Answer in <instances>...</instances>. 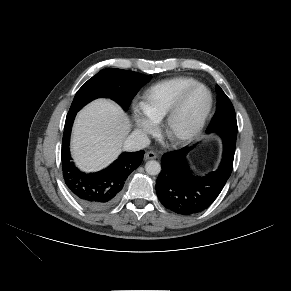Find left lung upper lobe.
<instances>
[{
  "label": "left lung upper lobe",
  "mask_w": 291,
  "mask_h": 291,
  "mask_svg": "<svg viewBox=\"0 0 291 291\" xmlns=\"http://www.w3.org/2000/svg\"><path fill=\"white\" fill-rule=\"evenodd\" d=\"M216 92L217 110L207 129L211 130L222 126L237 128L236 114L231 101L218 85H216Z\"/></svg>",
  "instance_id": "1"
}]
</instances>
